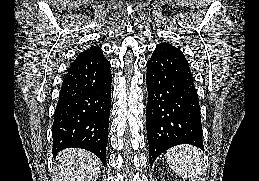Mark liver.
<instances>
[{
  "instance_id": "6515ba94",
  "label": "liver",
  "mask_w": 259,
  "mask_h": 181,
  "mask_svg": "<svg viewBox=\"0 0 259 181\" xmlns=\"http://www.w3.org/2000/svg\"><path fill=\"white\" fill-rule=\"evenodd\" d=\"M56 181H97L101 161L94 154L82 149H66L58 155Z\"/></svg>"
}]
</instances>
